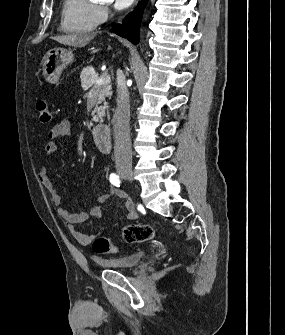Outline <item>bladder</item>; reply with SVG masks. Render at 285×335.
Masks as SVG:
<instances>
[{
    "label": "bladder",
    "instance_id": "bladder-1",
    "mask_svg": "<svg viewBox=\"0 0 285 335\" xmlns=\"http://www.w3.org/2000/svg\"><path fill=\"white\" fill-rule=\"evenodd\" d=\"M145 256L144 251H133L121 257L94 258V265H102L107 271H113L112 267L117 265L121 272V265H132V270L138 268ZM126 273V272H125Z\"/></svg>",
    "mask_w": 285,
    "mask_h": 335
}]
</instances>
